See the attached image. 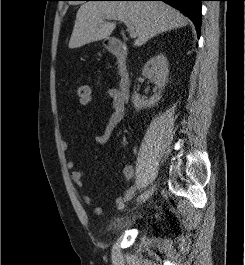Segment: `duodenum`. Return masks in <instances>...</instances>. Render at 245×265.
Segmentation results:
<instances>
[{"instance_id":"obj_1","label":"duodenum","mask_w":245,"mask_h":265,"mask_svg":"<svg viewBox=\"0 0 245 265\" xmlns=\"http://www.w3.org/2000/svg\"><path fill=\"white\" fill-rule=\"evenodd\" d=\"M108 51L117 59L119 75H118V91L124 99L129 97L131 80L127 65V49L125 44L119 39H111L108 42Z\"/></svg>"}]
</instances>
